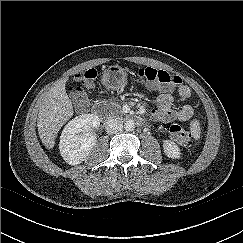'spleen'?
Segmentation results:
<instances>
[{
    "label": "spleen",
    "mask_w": 243,
    "mask_h": 243,
    "mask_svg": "<svg viewBox=\"0 0 243 243\" xmlns=\"http://www.w3.org/2000/svg\"><path fill=\"white\" fill-rule=\"evenodd\" d=\"M192 129H195L199 133V122L197 120L192 122Z\"/></svg>",
    "instance_id": "obj_1"
}]
</instances>
